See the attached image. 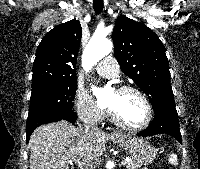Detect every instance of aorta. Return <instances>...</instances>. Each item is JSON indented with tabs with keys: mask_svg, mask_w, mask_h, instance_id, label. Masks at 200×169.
<instances>
[{
	"mask_svg": "<svg viewBox=\"0 0 200 169\" xmlns=\"http://www.w3.org/2000/svg\"><path fill=\"white\" fill-rule=\"evenodd\" d=\"M112 47V42L109 39L103 36L94 35L87 44L82 55V65L84 69L86 71L91 70L97 62L112 51ZM92 91L98 100H103L106 95V89L92 87ZM113 166L114 162L109 161L107 167L112 168Z\"/></svg>",
	"mask_w": 200,
	"mask_h": 169,
	"instance_id": "1",
	"label": "aorta"
}]
</instances>
